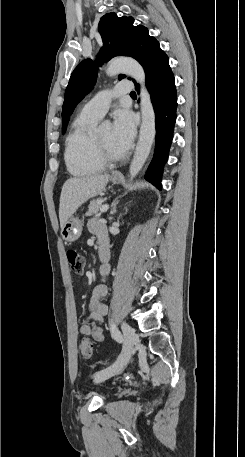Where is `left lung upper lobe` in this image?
Returning a JSON list of instances; mask_svg holds the SVG:
<instances>
[{
  "instance_id": "1",
  "label": "left lung upper lobe",
  "mask_w": 245,
  "mask_h": 457,
  "mask_svg": "<svg viewBox=\"0 0 245 457\" xmlns=\"http://www.w3.org/2000/svg\"><path fill=\"white\" fill-rule=\"evenodd\" d=\"M133 23V17H118L115 13H108L101 17L99 33L103 48L97 64L90 59L83 60L71 74L62 108L63 134L74 108L95 85L97 65L116 56H130L142 64L151 52L160 48L158 41L149 36L146 27L133 26ZM124 77L125 75H119L118 79L121 80Z\"/></svg>"
}]
</instances>
